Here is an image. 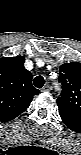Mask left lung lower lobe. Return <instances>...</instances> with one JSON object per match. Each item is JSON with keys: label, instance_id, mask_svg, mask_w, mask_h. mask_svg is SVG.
Returning a JSON list of instances; mask_svg holds the SVG:
<instances>
[{"label": "left lung lower lobe", "instance_id": "1", "mask_svg": "<svg viewBox=\"0 0 81 155\" xmlns=\"http://www.w3.org/2000/svg\"><path fill=\"white\" fill-rule=\"evenodd\" d=\"M61 119L66 124V126L69 129H71L72 131H75V132H80L81 131V121L70 119V118H67L65 116H61Z\"/></svg>", "mask_w": 81, "mask_h": 155}]
</instances>
